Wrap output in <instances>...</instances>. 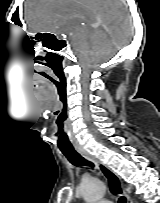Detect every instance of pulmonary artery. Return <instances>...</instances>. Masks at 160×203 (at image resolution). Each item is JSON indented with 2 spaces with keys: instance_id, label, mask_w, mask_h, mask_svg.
<instances>
[{
  "instance_id": "obj_1",
  "label": "pulmonary artery",
  "mask_w": 160,
  "mask_h": 203,
  "mask_svg": "<svg viewBox=\"0 0 160 203\" xmlns=\"http://www.w3.org/2000/svg\"><path fill=\"white\" fill-rule=\"evenodd\" d=\"M98 203H112L110 201H102V202H98Z\"/></svg>"
}]
</instances>
